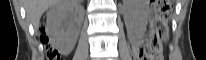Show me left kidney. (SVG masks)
I'll list each match as a JSON object with an SVG mask.
<instances>
[{"mask_svg":"<svg viewBox=\"0 0 206 60\" xmlns=\"http://www.w3.org/2000/svg\"><path fill=\"white\" fill-rule=\"evenodd\" d=\"M148 0H128L125 13V22L131 40L142 38L148 16Z\"/></svg>","mask_w":206,"mask_h":60,"instance_id":"1","label":"left kidney"}]
</instances>
